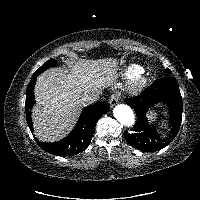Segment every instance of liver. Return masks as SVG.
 I'll return each instance as SVG.
<instances>
[{
	"label": "liver",
	"mask_w": 200,
	"mask_h": 200,
	"mask_svg": "<svg viewBox=\"0 0 200 200\" xmlns=\"http://www.w3.org/2000/svg\"><path fill=\"white\" fill-rule=\"evenodd\" d=\"M116 75L117 61L113 58L73 60L69 70L50 68L42 73L37 78V104L32 110L36 137L43 142L65 137L79 116L83 94H99Z\"/></svg>",
	"instance_id": "obj_1"
}]
</instances>
